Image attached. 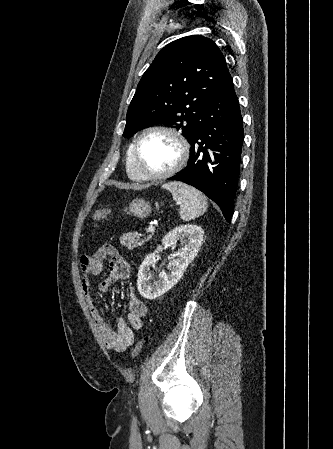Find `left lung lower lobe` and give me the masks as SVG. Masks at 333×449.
<instances>
[{"label": "left lung lower lobe", "mask_w": 333, "mask_h": 449, "mask_svg": "<svg viewBox=\"0 0 333 449\" xmlns=\"http://www.w3.org/2000/svg\"><path fill=\"white\" fill-rule=\"evenodd\" d=\"M243 120L230 78L207 104L191 144L187 167L169 180L202 191L221 208L230 222L240 173Z\"/></svg>", "instance_id": "obj_1"}]
</instances>
